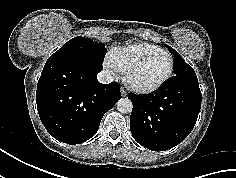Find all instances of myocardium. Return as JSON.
<instances>
[{"instance_id": "myocardium-1", "label": "myocardium", "mask_w": 236, "mask_h": 178, "mask_svg": "<svg viewBox=\"0 0 236 178\" xmlns=\"http://www.w3.org/2000/svg\"><path fill=\"white\" fill-rule=\"evenodd\" d=\"M157 55H167L170 59V66L169 69L167 71V73L165 74V76L159 80L158 82L151 84V85H144V84H140L138 82H136L133 78V75L135 73V71L147 60L157 56ZM174 71V58L173 56L165 50H161V51H156V52H152L140 59H138L137 61H135L134 63H132L127 70L124 72L123 74V78H124V82L126 83V85L132 89L135 92L138 93H150L153 91L158 90L160 87H162L172 76Z\"/></svg>"}]
</instances>
